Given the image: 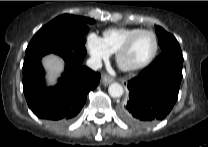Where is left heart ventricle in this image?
Segmentation results:
<instances>
[{"label": "left heart ventricle", "instance_id": "b2bd125f", "mask_svg": "<svg viewBox=\"0 0 208 147\" xmlns=\"http://www.w3.org/2000/svg\"><path fill=\"white\" fill-rule=\"evenodd\" d=\"M154 48L155 41L153 36L149 33L141 34L123 56L122 61L129 65L141 64L149 59Z\"/></svg>", "mask_w": 208, "mask_h": 147}]
</instances>
